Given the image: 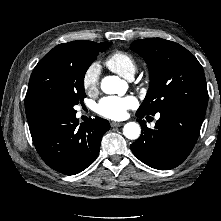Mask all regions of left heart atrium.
<instances>
[{
	"label": "left heart atrium",
	"mask_w": 221,
	"mask_h": 221,
	"mask_svg": "<svg viewBox=\"0 0 221 221\" xmlns=\"http://www.w3.org/2000/svg\"><path fill=\"white\" fill-rule=\"evenodd\" d=\"M137 106L134 96H106L96 105L95 111L108 119L120 120L126 117L127 111Z\"/></svg>",
	"instance_id": "left-heart-atrium-1"
}]
</instances>
